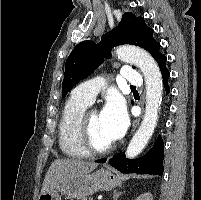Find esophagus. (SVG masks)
Returning a JSON list of instances; mask_svg holds the SVG:
<instances>
[{
    "label": "esophagus",
    "mask_w": 201,
    "mask_h": 200,
    "mask_svg": "<svg viewBox=\"0 0 201 200\" xmlns=\"http://www.w3.org/2000/svg\"><path fill=\"white\" fill-rule=\"evenodd\" d=\"M140 119H141V117H138V118L134 121L133 130H135L136 127L138 126V124H139V122H140Z\"/></svg>",
    "instance_id": "34e87169"
}]
</instances>
